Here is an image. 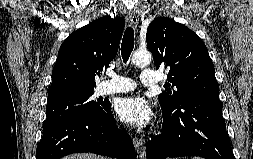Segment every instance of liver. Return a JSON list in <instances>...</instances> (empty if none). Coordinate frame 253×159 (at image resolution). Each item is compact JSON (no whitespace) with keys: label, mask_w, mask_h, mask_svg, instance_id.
I'll use <instances>...</instances> for the list:
<instances>
[{"label":"liver","mask_w":253,"mask_h":159,"mask_svg":"<svg viewBox=\"0 0 253 159\" xmlns=\"http://www.w3.org/2000/svg\"><path fill=\"white\" fill-rule=\"evenodd\" d=\"M62 159H107V158H104L102 156H98L92 153H78V154L65 156Z\"/></svg>","instance_id":"liver-1"}]
</instances>
